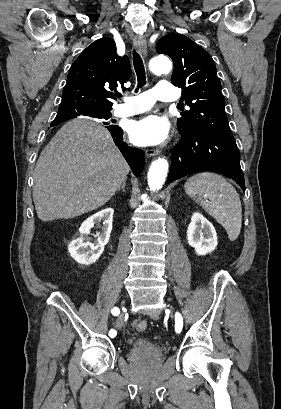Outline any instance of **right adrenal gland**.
<instances>
[{"instance_id": "2a0ac1e0", "label": "right adrenal gland", "mask_w": 281, "mask_h": 409, "mask_svg": "<svg viewBox=\"0 0 281 409\" xmlns=\"http://www.w3.org/2000/svg\"><path fill=\"white\" fill-rule=\"evenodd\" d=\"M125 186H126V180H123V182H121L120 186H118V188H116V192H118V190H123V192H125Z\"/></svg>"}]
</instances>
